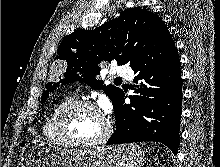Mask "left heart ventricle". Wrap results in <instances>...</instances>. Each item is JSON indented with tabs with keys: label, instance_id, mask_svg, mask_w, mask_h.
Returning a JSON list of instances; mask_svg holds the SVG:
<instances>
[{
	"label": "left heart ventricle",
	"instance_id": "left-heart-ventricle-1",
	"mask_svg": "<svg viewBox=\"0 0 220 167\" xmlns=\"http://www.w3.org/2000/svg\"><path fill=\"white\" fill-rule=\"evenodd\" d=\"M103 127L101 115L88 108H78L73 111L66 124L68 134L83 141L99 137Z\"/></svg>",
	"mask_w": 220,
	"mask_h": 167
}]
</instances>
